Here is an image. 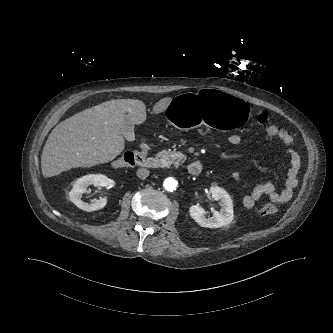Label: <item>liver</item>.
Masks as SVG:
<instances>
[{
  "mask_svg": "<svg viewBox=\"0 0 333 333\" xmlns=\"http://www.w3.org/2000/svg\"><path fill=\"white\" fill-rule=\"evenodd\" d=\"M172 98L153 106L161 113ZM129 115L134 124L146 120V106L137 99H113L83 110L60 122L50 133L41 156L44 177L76 167H92L115 159L124 149L122 123Z\"/></svg>",
  "mask_w": 333,
  "mask_h": 333,
  "instance_id": "obj_1",
  "label": "liver"
}]
</instances>
